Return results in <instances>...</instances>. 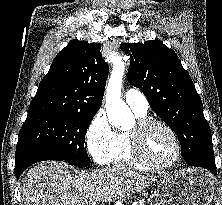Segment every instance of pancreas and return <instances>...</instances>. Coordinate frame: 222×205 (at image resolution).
<instances>
[{"label": "pancreas", "mask_w": 222, "mask_h": 205, "mask_svg": "<svg viewBox=\"0 0 222 205\" xmlns=\"http://www.w3.org/2000/svg\"><path fill=\"white\" fill-rule=\"evenodd\" d=\"M137 205H145L144 204V199H140L139 201H138V204Z\"/></svg>", "instance_id": "1"}]
</instances>
